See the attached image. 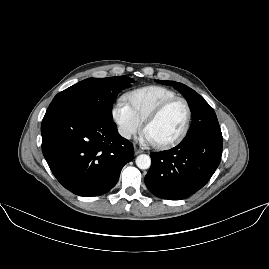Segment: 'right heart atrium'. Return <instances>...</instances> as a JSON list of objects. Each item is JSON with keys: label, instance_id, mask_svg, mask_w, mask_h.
Listing matches in <instances>:
<instances>
[{"label": "right heart atrium", "instance_id": "obj_1", "mask_svg": "<svg viewBox=\"0 0 269 269\" xmlns=\"http://www.w3.org/2000/svg\"><path fill=\"white\" fill-rule=\"evenodd\" d=\"M112 116L119 126L120 134L125 138L142 132L143 124L136 118L130 105L123 98H118L112 108Z\"/></svg>", "mask_w": 269, "mask_h": 269}]
</instances>
